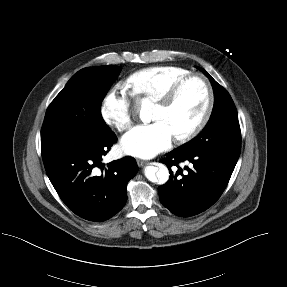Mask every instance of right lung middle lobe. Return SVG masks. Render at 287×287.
I'll return each instance as SVG.
<instances>
[{"instance_id":"dd1d6c3e","label":"right lung middle lobe","mask_w":287,"mask_h":287,"mask_svg":"<svg viewBox=\"0 0 287 287\" xmlns=\"http://www.w3.org/2000/svg\"><path fill=\"white\" fill-rule=\"evenodd\" d=\"M120 71L119 66H98L84 68L71 77L46 111L41 130L42 152L91 143L112 131L100 108Z\"/></svg>"}]
</instances>
